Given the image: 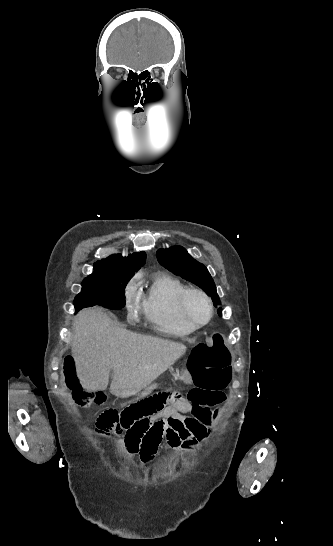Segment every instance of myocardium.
<instances>
[{
    "mask_svg": "<svg viewBox=\"0 0 333 546\" xmlns=\"http://www.w3.org/2000/svg\"><path fill=\"white\" fill-rule=\"evenodd\" d=\"M194 297L202 299L208 306V317L202 322L196 321L190 313V303ZM179 310L184 321L195 329L207 325L212 320L214 314V306L211 298L204 291L197 288H187L181 294L179 298Z\"/></svg>",
    "mask_w": 333,
    "mask_h": 546,
    "instance_id": "obj_1",
    "label": "myocardium"
}]
</instances>
